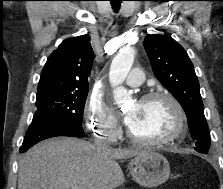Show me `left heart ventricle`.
<instances>
[{"instance_id": "1", "label": "left heart ventricle", "mask_w": 223, "mask_h": 189, "mask_svg": "<svg viewBox=\"0 0 223 189\" xmlns=\"http://www.w3.org/2000/svg\"><path fill=\"white\" fill-rule=\"evenodd\" d=\"M128 114L133 115L130 129L144 138L167 135L174 129L176 123L174 110L164 99L135 103L127 110Z\"/></svg>"}]
</instances>
